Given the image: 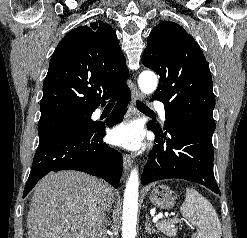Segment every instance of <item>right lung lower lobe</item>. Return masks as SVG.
<instances>
[{"label": "right lung lower lobe", "mask_w": 247, "mask_h": 238, "mask_svg": "<svg viewBox=\"0 0 247 238\" xmlns=\"http://www.w3.org/2000/svg\"><path fill=\"white\" fill-rule=\"evenodd\" d=\"M112 98L118 102L106 120L108 126L122 122L124 116L122 111L130 99L128 86ZM90 113L92 114L93 111ZM104 135L105 124L93 122L89 126L71 128L40 141L23 198L43 176L51 171L66 169L101 177L117 188L123 169L122 156L103 142Z\"/></svg>", "instance_id": "98d812e1"}]
</instances>
